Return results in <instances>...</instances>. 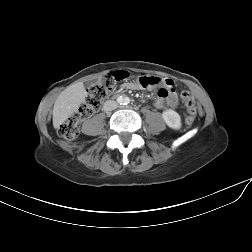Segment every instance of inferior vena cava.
<instances>
[{
  "label": "inferior vena cava",
  "instance_id": "1",
  "mask_svg": "<svg viewBox=\"0 0 252 252\" xmlns=\"http://www.w3.org/2000/svg\"><path fill=\"white\" fill-rule=\"evenodd\" d=\"M118 107V104L116 101L113 100H108L104 103L103 105V110L104 111H112Z\"/></svg>",
  "mask_w": 252,
  "mask_h": 252
}]
</instances>
